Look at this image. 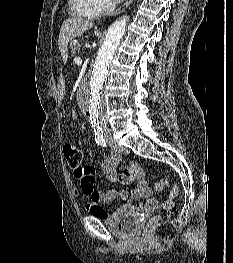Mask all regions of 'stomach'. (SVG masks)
<instances>
[{
  "label": "stomach",
  "instance_id": "obj_1",
  "mask_svg": "<svg viewBox=\"0 0 233 263\" xmlns=\"http://www.w3.org/2000/svg\"><path fill=\"white\" fill-rule=\"evenodd\" d=\"M55 81L58 82V91H66L67 88H70V83L65 80V77H56Z\"/></svg>",
  "mask_w": 233,
  "mask_h": 263
}]
</instances>
